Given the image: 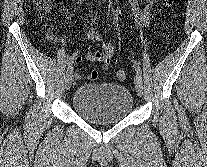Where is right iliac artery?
<instances>
[{
	"mask_svg": "<svg viewBox=\"0 0 207 167\" xmlns=\"http://www.w3.org/2000/svg\"><path fill=\"white\" fill-rule=\"evenodd\" d=\"M99 5H100V4H99ZM96 15H97V12H96V14H95V16H94V19H93L94 21H95V19H96ZM93 20H92V23H91V24H93V22H94ZM74 54H76V53H74ZM72 65H73V59L70 58V59L68 60V63H67V70H69V68H71Z\"/></svg>",
	"mask_w": 207,
	"mask_h": 167,
	"instance_id": "right-iliac-artery-1",
	"label": "right iliac artery"
}]
</instances>
